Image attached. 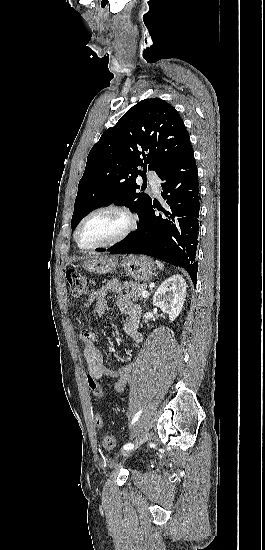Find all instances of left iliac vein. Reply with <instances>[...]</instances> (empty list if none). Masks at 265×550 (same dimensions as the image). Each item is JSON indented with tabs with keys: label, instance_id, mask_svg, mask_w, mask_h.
Masks as SVG:
<instances>
[{
	"label": "left iliac vein",
	"instance_id": "obj_1",
	"mask_svg": "<svg viewBox=\"0 0 265 550\" xmlns=\"http://www.w3.org/2000/svg\"><path fill=\"white\" fill-rule=\"evenodd\" d=\"M149 439V433H144L140 439L137 441L136 443V446L135 448H137L138 446H140L142 443H144L145 441H147ZM128 452H124L123 455H126Z\"/></svg>",
	"mask_w": 265,
	"mask_h": 550
}]
</instances>
